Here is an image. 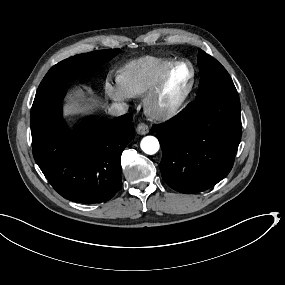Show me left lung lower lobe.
Instances as JSON below:
<instances>
[{
    "label": "left lung lower lobe",
    "instance_id": "1",
    "mask_svg": "<svg viewBox=\"0 0 285 285\" xmlns=\"http://www.w3.org/2000/svg\"><path fill=\"white\" fill-rule=\"evenodd\" d=\"M153 129L162 148L165 183L185 194L207 190L233 167L242 129L238 93L205 94Z\"/></svg>",
    "mask_w": 285,
    "mask_h": 285
}]
</instances>
